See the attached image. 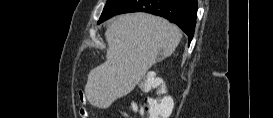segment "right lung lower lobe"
I'll use <instances>...</instances> for the list:
<instances>
[{
    "mask_svg": "<svg viewBox=\"0 0 273 118\" xmlns=\"http://www.w3.org/2000/svg\"><path fill=\"white\" fill-rule=\"evenodd\" d=\"M197 0H121L107 18L131 12H147L168 19L178 25L188 36L191 42L197 17Z\"/></svg>",
    "mask_w": 273,
    "mask_h": 118,
    "instance_id": "1",
    "label": "right lung lower lobe"
}]
</instances>
